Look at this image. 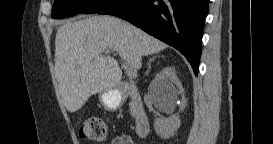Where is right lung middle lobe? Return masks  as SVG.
<instances>
[{
  "instance_id": "dd1d6c3e",
  "label": "right lung middle lobe",
  "mask_w": 273,
  "mask_h": 144,
  "mask_svg": "<svg viewBox=\"0 0 273 144\" xmlns=\"http://www.w3.org/2000/svg\"><path fill=\"white\" fill-rule=\"evenodd\" d=\"M110 0H55L52 8V18H64L79 13H96Z\"/></svg>"
}]
</instances>
